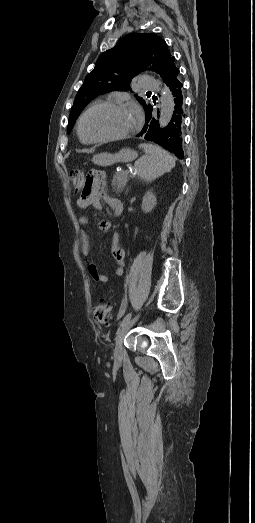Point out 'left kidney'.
Returning <instances> with one entry per match:
<instances>
[{
  "instance_id": "obj_1",
  "label": "left kidney",
  "mask_w": 255,
  "mask_h": 523,
  "mask_svg": "<svg viewBox=\"0 0 255 523\" xmlns=\"http://www.w3.org/2000/svg\"><path fill=\"white\" fill-rule=\"evenodd\" d=\"M156 198L152 192V190H149V192H146L143 200H142V210L143 212H151L153 210L154 206H156Z\"/></svg>"
}]
</instances>
